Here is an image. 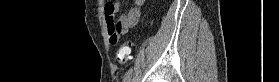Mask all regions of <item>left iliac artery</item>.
<instances>
[{"instance_id":"44dca946","label":"left iliac artery","mask_w":279,"mask_h":82,"mask_svg":"<svg viewBox=\"0 0 279 82\" xmlns=\"http://www.w3.org/2000/svg\"><path fill=\"white\" fill-rule=\"evenodd\" d=\"M132 73H133V69L130 68V69L126 72V74H125V76H124V78H123V82H130V81H131V78H132Z\"/></svg>"}]
</instances>
